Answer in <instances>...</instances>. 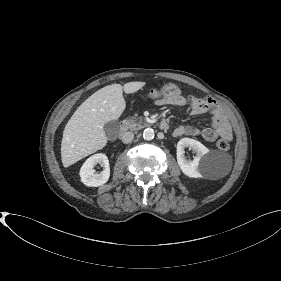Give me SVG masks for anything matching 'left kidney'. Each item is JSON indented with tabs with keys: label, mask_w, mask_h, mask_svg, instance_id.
Instances as JSON below:
<instances>
[{
	"label": "left kidney",
	"mask_w": 281,
	"mask_h": 281,
	"mask_svg": "<svg viewBox=\"0 0 281 281\" xmlns=\"http://www.w3.org/2000/svg\"><path fill=\"white\" fill-rule=\"evenodd\" d=\"M190 147L196 153L193 160H186L184 156L185 148ZM209 149L201 142L191 139L182 138L177 143V162L181 171L190 178L202 177L204 165L206 163V154Z\"/></svg>",
	"instance_id": "left-kidney-1"
}]
</instances>
